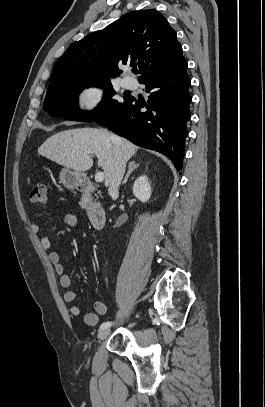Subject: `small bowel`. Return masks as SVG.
<instances>
[{
  "instance_id": "1",
  "label": "small bowel",
  "mask_w": 265,
  "mask_h": 407,
  "mask_svg": "<svg viewBox=\"0 0 265 407\" xmlns=\"http://www.w3.org/2000/svg\"><path fill=\"white\" fill-rule=\"evenodd\" d=\"M62 224L71 226L74 228L79 227V220L76 216L72 214H67L64 216ZM61 226V223L51 224L45 234L40 238L41 247L48 252V257L50 262L54 265L55 271L59 276L60 285L66 289L64 293V301L70 303V313L73 316H80L82 314V308L75 301L78 297V291L72 288V278L66 272L65 265L61 262V258L58 252L52 250V243L50 239V234L56 232ZM31 229L35 234H39L42 227L39 223H33ZM95 312L87 313L84 316V321L89 326H95L98 324L99 315H104L108 311V304L103 301H97L94 304Z\"/></svg>"
}]
</instances>
